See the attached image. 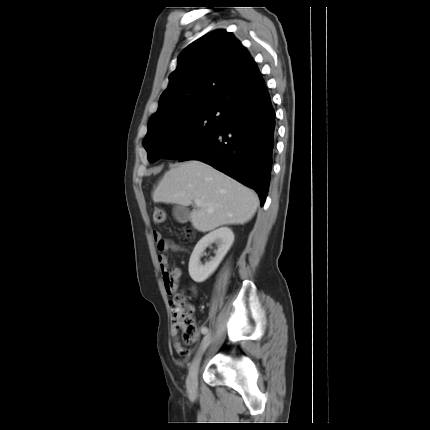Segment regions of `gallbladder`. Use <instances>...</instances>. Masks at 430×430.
<instances>
[{
  "instance_id": "1",
  "label": "gallbladder",
  "mask_w": 430,
  "mask_h": 430,
  "mask_svg": "<svg viewBox=\"0 0 430 430\" xmlns=\"http://www.w3.org/2000/svg\"><path fill=\"white\" fill-rule=\"evenodd\" d=\"M190 210L186 206L175 205L173 208V216L179 223H186L190 219Z\"/></svg>"
}]
</instances>
